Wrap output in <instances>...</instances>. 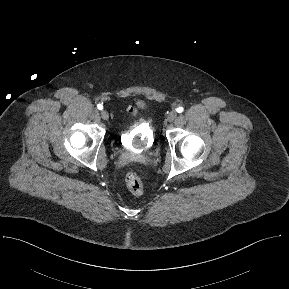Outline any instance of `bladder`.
Listing matches in <instances>:
<instances>
[{"label": "bladder", "mask_w": 289, "mask_h": 289, "mask_svg": "<svg viewBox=\"0 0 289 289\" xmlns=\"http://www.w3.org/2000/svg\"><path fill=\"white\" fill-rule=\"evenodd\" d=\"M142 132V126H137L132 129H129L125 131L123 134V139L129 142L130 144L133 143L134 146L139 145L141 142H139V138Z\"/></svg>", "instance_id": "obj_1"}]
</instances>
